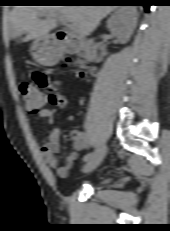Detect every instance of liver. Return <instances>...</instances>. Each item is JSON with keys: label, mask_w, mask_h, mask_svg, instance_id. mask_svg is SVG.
<instances>
[{"label": "liver", "mask_w": 170, "mask_h": 231, "mask_svg": "<svg viewBox=\"0 0 170 231\" xmlns=\"http://www.w3.org/2000/svg\"><path fill=\"white\" fill-rule=\"evenodd\" d=\"M115 9L116 6H16L10 12L6 34L12 39L25 34L22 42L43 38L58 26L56 17L62 16L83 38Z\"/></svg>", "instance_id": "1"}]
</instances>
